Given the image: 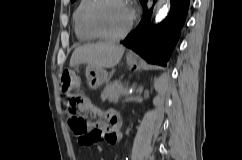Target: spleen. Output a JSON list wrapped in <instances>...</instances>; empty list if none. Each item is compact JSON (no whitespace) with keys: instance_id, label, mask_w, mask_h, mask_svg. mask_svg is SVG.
<instances>
[{"instance_id":"3e777b00","label":"spleen","mask_w":242,"mask_h":160,"mask_svg":"<svg viewBox=\"0 0 242 160\" xmlns=\"http://www.w3.org/2000/svg\"><path fill=\"white\" fill-rule=\"evenodd\" d=\"M165 83H166V80L161 77L159 80H156L155 81V88L159 91V92H162L163 91V88L165 86Z\"/></svg>"}]
</instances>
